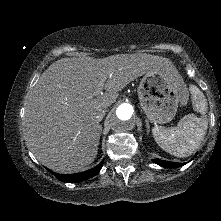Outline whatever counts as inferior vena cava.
I'll list each match as a JSON object with an SVG mask.
<instances>
[{
  "label": "inferior vena cava",
  "mask_w": 221,
  "mask_h": 221,
  "mask_svg": "<svg viewBox=\"0 0 221 221\" xmlns=\"http://www.w3.org/2000/svg\"><path fill=\"white\" fill-rule=\"evenodd\" d=\"M105 114H106V109H101L96 115L97 121H101L105 116Z\"/></svg>",
  "instance_id": "obj_1"
}]
</instances>
